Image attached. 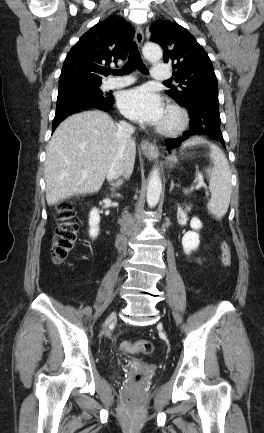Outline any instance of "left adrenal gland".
Returning <instances> with one entry per match:
<instances>
[{
  "label": "left adrenal gland",
  "mask_w": 264,
  "mask_h": 433,
  "mask_svg": "<svg viewBox=\"0 0 264 433\" xmlns=\"http://www.w3.org/2000/svg\"><path fill=\"white\" fill-rule=\"evenodd\" d=\"M175 186H176V187H179V185H175V184H174V181L172 180L171 183H170V190H169V192H172V190H173V188H174Z\"/></svg>",
  "instance_id": "1"
}]
</instances>
